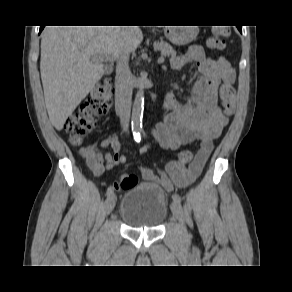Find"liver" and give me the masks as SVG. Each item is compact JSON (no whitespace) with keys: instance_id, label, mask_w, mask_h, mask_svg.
I'll use <instances>...</instances> for the list:
<instances>
[{"instance_id":"1","label":"liver","mask_w":292,"mask_h":292,"mask_svg":"<svg viewBox=\"0 0 292 292\" xmlns=\"http://www.w3.org/2000/svg\"><path fill=\"white\" fill-rule=\"evenodd\" d=\"M139 26H47L42 32L40 73L50 122L60 131L104 74L142 42ZM100 55L103 60L94 59Z\"/></svg>"}]
</instances>
